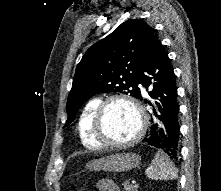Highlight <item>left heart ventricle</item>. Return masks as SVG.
<instances>
[{"mask_svg":"<svg viewBox=\"0 0 221 191\" xmlns=\"http://www.w3.org/2000/svg\"><path fill=\"white\" fill-rule=\"evenodd\" d=\"M104 123L108 140L124 142L131 139L137 132L139 117L130 104L115 101L108 105Z\"/></svg>","mask_w":221,"mask_h":191,"instance_id":"1","label":"left heart ventricle"}]
</instances>
